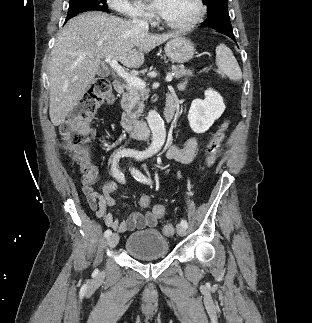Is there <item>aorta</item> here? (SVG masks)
Listing matches in <instances>:
<instances>
[{
    "label": "aorta",
    "instance_id": "aorta-1",
    "mask_svg": "<svg viewBox=\"0 0 312 323\" xmlns=\"http://www.w3.org/2000/svg\"><path fill=\"white\" fill-rule=\"evenodd\" d=\"M147 122L152 132V142L149 150L152 154H157V152L161 150L162 146H164V142L166 140L164 122L161 120L160 116H158L157 112H154V110L149 112Z\"/></svg>",
    "mask_w": 312,
    "mask_h": 323
}]
</instances>
